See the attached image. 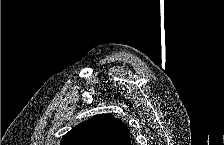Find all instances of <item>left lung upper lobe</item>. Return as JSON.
<instances>
[{"mask_svg":"<svg viewBox=\"0 0 224 145\" xmlns=\"http://www.w3.org/2000/svg\"><path fill=\"white\" fill-rule=\"evenodd\" d=\"M60 145H131V139L120 119L101 114L70 130Z\"/></svg>","mask_w":224,"mask_h":145,"instance_id":"obj_1","label":"left lung upper lobe"}]
</instances>
